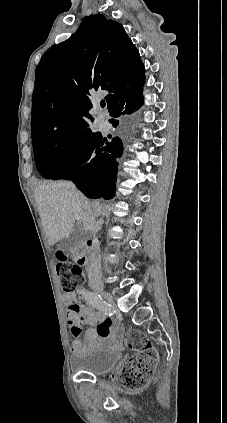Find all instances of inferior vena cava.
Here are the masks:
<instances>
[{
	"instance_id": "602c4592",
	"label": "inferior vena cava",
	"mask_w": 227,
	"mask_h": 423,
	"mask_svg": "<svg viewBox=\"0 0 227 423\" xmlns=\"http://www.w3.org/2000/svg\"><path fill=\"white\" fill-rule=\"evenodd\" d=\"M83 208H84V215H86L84 219V225L89 227L90 233H92V245H90V263L88 269V279L89 283L92 281H99L102 273H101V257L99 253V239L95 235V231L92 229V225H95L96 219L93 211L90 210L88 202L83 200Z\"/></svg>"
}]
</instances>
